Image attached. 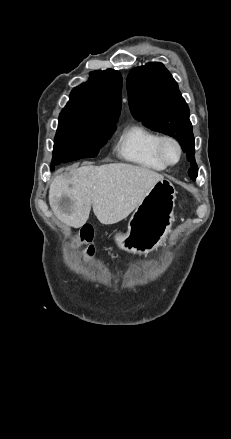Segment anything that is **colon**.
I'll list each match as a JSON object with an SVG mask.
<instances>
[{
    "label": "colon",
    "mask_w": 231,
    "mask_h": 439,
    "mask_svg": "<svg viewBox=\"0 0 231 439\" xmlns=\"http://www.w3.org/2000/svg\"><path fill=\"white\" fill-rule=\"evenodd\" d=\"M93 229L90 226H84L79 231L77 237H76V243L80 246L84 247V255L89 257L93 255L94 253V247L92 245L93 241Z\"/></svg>",
    "instance_id": "5ec220e1"
}]
</instances>
